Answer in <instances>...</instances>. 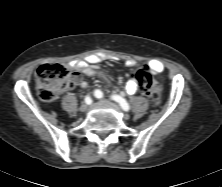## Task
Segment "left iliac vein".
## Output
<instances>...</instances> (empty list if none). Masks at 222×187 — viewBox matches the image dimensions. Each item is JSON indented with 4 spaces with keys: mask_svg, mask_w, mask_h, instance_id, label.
<instances>
[{
    "mask_svg": "<svg viewBox=\"0 0 222 187\" xmlns=\"http://www.w3.org/2000/svg\"><path fill=\"white\" fill-rule=\"evenodd\" d=\"M102 102H104V103H107V104H113L110 100H108V99H102L101 100Z\"/></svg>",
    "mask_w": 222,
    "mask_h": 187,
    "instance_id": "1",
    "label": "left iliac vein"
}]
</instances>
